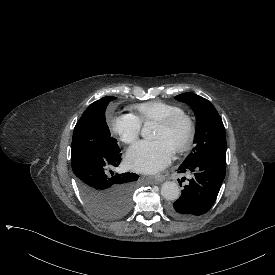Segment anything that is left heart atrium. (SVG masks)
Here are the masks:
<instances>
[{
    "mask_svg": "<svg viewBox=\"0 0 275 275\" xmlns=\"http://www.w3.org/2000/svg\"><path fill=\"white\" fill-rule=\"evenodd\" d=\"M174 156V148L165 140L143 142L131 149L127 163L133 170L153 173L167 167Z\"/></svg>",
    "mask_w": 275,
    "mask_h": 275,
    "instance_id": "1",
    "label": "left heart atrium"
}]
</instances>
